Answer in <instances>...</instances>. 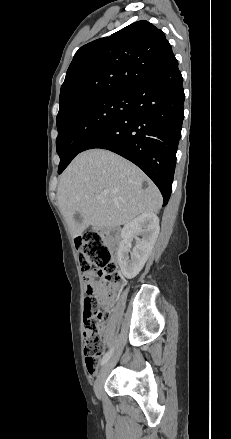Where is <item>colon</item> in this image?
Returning <instances> with one entry per match:
<instances>
[{"mask_svg": "<svg viewBox=\"0 0 231 439\" xmlns=\"http://www.w3.org/2000/svg\"><path fill=\"white\" fill-rule=\"evenodd\" d=\"M80 267L83 271H95L100 292L109 293L120 283L116 264L110 249L98 233H87L76 240ZM84 350L86 366L94 373L103 349L102 304L98 294L89 291L84 303Z\"/></svg>", "mask_w": 231, "mask_h": 439, "instance_id": "5ec220e1", "label": "colon"}]
</instances>
